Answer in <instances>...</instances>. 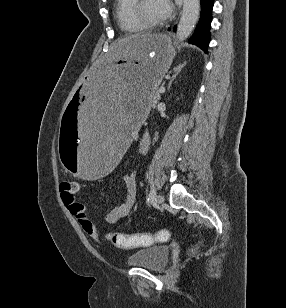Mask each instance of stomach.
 Returning a JSON list of instances; mask_svg holds the SVG:
<instances>
[{"label": "stomach", "instance_id": "0dacf381", "mask_svg": "<svg viewBox=\"0 0 286 308\" xmlns=\"http://www.w3.org/2000/svg\"><path fill=\"white\" fill-rule=\"evenodd\" d=\"M174 57L170 37L148 34L128 36L95 60L60 118L58 153L67 173L81 182L116 173Z\"/></svg>", "mask_w": 286, "mask_h": 308}]
</instances>
